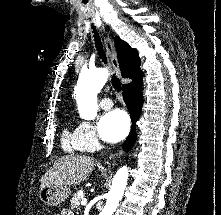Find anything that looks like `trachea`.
<instances>
[{
    "instance_id": "1",
    "label": "trachea",
    "mask_w": 221,
    "mask_h": 215,
    "mask_svg": "<svg viewBox=\"0 0 221 215\" xmlns=\"http://www.w3.org/2000/svg\"><path fill=\"white\" fill-rule=\"evenodd\" d=\"M91 27L93 29L95 47H96V49L98 51V55L100 56L102 61L105 64H107V58H106V54H105V52L103 50V46H102V42H101L100 36H99L95 26L93 25V23L91 24ZM111 83H112V86L114 87L115 90L121 91V82H120V80L117 78V76L115 74H113L111 76Z\"/></svg>"
}]
</instances>
